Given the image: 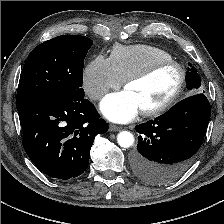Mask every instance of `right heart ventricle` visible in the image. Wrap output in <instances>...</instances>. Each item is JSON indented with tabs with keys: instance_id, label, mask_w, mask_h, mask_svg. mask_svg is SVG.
I'll return each mask as SVG.
<instances>
[{
	"instance_id": "1",
	"label": "right heart ventricle",
	"mask_w": 224,
	"mask_h": 224,
	"mask_svg": "<svg viewBox=\"0 0 224 224\" xmlns=\"http://www.w3.org/2000/svg\"><path fill=\"white\" fill-rule=\"evenodd\" d=\"M172 59V55L166 50L145 44L118 45L110 55L112 65L122 81L154 62Z\"/></svg>"
}]
</instances>
